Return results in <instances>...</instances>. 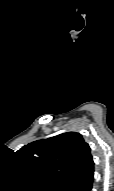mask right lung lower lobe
Wrapping results in <instances>:
<instances>
[{
  "label": "right lung lower lobe",
  "instance_id": "1",
  "mask_svg": "<svg viewBox=\"0 0 114 191\" xmlns=\"http://www.w3.org/2000/svg\"><path fill=\"white\" fill-rule=\"evenodd\" d=\"M93 179V173L82 177H76L57 187V191H91Z\"/></svg>",
  "mask_w": 114,
  "mask_h": 191
}]
</instances>
